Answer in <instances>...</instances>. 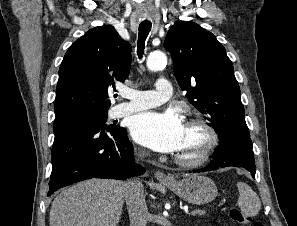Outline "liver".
<instances>
[{"mask_svg":"<svg viewBox=\"0 0 297 226\" xmlns=\"http://www.w3.org/2000/svg\"><path fill=\"white\" fill-rule=\"evenodd\" d=\"M126 183L86 180L61 192L52 202L50 226H117Z\"/></svg>","mask_w":297,"mask_h":226,"instance_id":"obj_1","label":"liver"}]
</instances>
